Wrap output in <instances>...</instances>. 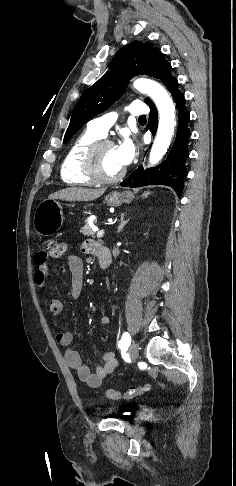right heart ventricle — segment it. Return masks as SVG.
<instances>
[{
  "mask_svg": "<svg viewBox=\"0 0 236 486\" xmlns=\"http://www.w3.org/2000/svg\"><path fill=\"white\" fill-rule=\"evenodd\" d=\"M101 138L100 135L87 128L73 140L61 164L60 174L64 183L81 186L94 183L82 171V157L87 147Z\"/></svg>",
  "mask_w": 236,
  "mask_h": 486,
  "instance_id": "e07e8e85",
  "label": "right heart ventricle"
}]
</instances>
